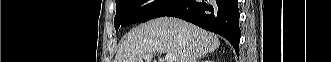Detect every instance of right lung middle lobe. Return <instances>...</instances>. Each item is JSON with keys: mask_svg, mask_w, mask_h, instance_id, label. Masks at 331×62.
<instances>
[{"mask_svg": "<svg viewBox=\"0 0 331 62\" xmlns=\"http://www.w3.org/2000/svg\"><path fill=\"white\" fill-rule=\"evenodd\" d=\"M181 0H118L114 18L115 29L136 22H146L161 17Z\"/></svg>", "mask_w": 331, "mask_h": 62, "instance_id": "right-lung-middle-lobe-1", "label": "right lung middle lobe"}]
</instances>
